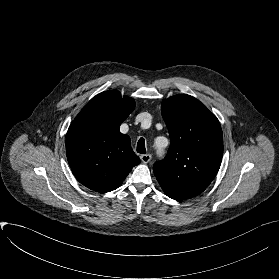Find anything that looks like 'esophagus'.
Wrapping results in <instances>:
<instances>
[{
	"label": "esophagus",
	"instance_id": "obj_1",
	"mask_svg": "<svg viewBox=\"0 0 279 279\" xmlns=\"http://www.w3.org/2000/svg\"><path fill=\"white\" fill-rule=\"evenodd\" d=\"M140 158L143 163H148L151 160L152 156L151 154H144L141 155Z\"/></svg>",
	"mask_w": 279,
	"mask_h": 279
}]
</instances>
